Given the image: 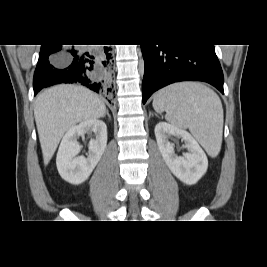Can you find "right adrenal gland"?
I'll return each instance as SVG.
<instances>
[{
  "label": "right adrenal gland",
  "instance_id": "right-adrenal-gland-1",
  "mask_svg": "<svg viewBox=\"0 0 267 267\" xmlns=\"http://www.w3.org/2000/svg\"><path fill=\"white\" fill-rule=\"evenodd\" d=\"M106 115L108 116L109 120H111V116H110L108 110L106 111Z\"/></svg>",
  "mask_w": 267,
  "mask_h": 267
}]
</instances>
